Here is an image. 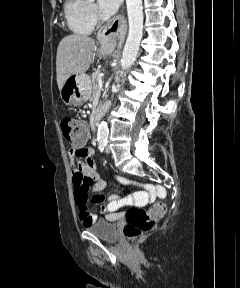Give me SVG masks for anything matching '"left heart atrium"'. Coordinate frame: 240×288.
<instances>
[{
	"label": "left heart atrium",
	"mask_w": 240,
	"mask_h": 288,
	"mask_svg": "<svg viewBox=\"0 0 240 288\" xmlns=\"http://www.w3.org/2000/svg\"><path fill=\"white\" fill-rule=\"evenodd\" d=\"M122 0H98V5L101 12L105 15H110L117 10Z\"/></svg>",
	"instance_id": "obj_1"
}]
</instances>
